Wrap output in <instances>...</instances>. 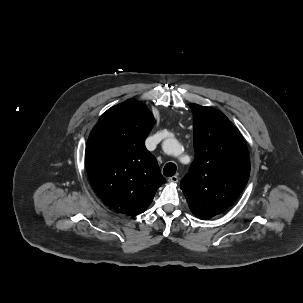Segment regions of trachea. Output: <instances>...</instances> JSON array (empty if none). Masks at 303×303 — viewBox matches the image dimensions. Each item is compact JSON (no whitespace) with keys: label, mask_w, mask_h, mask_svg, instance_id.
Returning a JSON list of instances; mask_svg holds the SVG:
<instances>
[{"label":"trachea","mask_w":303,"mask_h":303,"mask_svg":"<svg viewBox=\"0 0 303 303\" xmlns=\"http://www.w3.org/2000/svg\"><path fill=\"white\" fill-rule=\"evenodd\" d=\"M177 170V167L174 163H167L163 169V174L166 177H172Z\"/></svg>","instance_id":"obj_1"}]
</instances>
